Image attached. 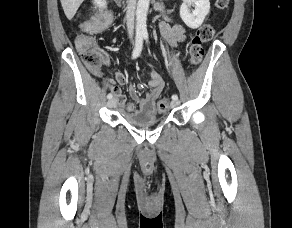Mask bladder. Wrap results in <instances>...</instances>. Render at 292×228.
I'll list each match as a JSON object with an SVG mask.
<instances>
[{
    "mask_svg": "<svg viewBox=\"0 0 292 228\" xmlns=\"http://www.w3.org/2000/svg\"><path fill=\"white\" fill-rule=\"evenodd\" d=\"M125 119L128 123L142 128L156 125L160 121V118H158L154 114L151 115L128 114L125 116Z\"/></svg>",
    "mask_w": 292,
    "mask_h": 228,
    "instance_id": "bladder-1",
    "label": "bladder"
}]
</instances>
